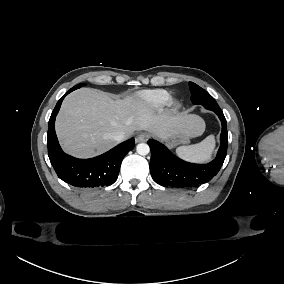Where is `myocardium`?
I'll use <instances>...</instances> for the list:
<instances>
[{
    "instance_id": "obj_1",
    "label": "myocardium",
    "mask_w": 284,
    "mask_h": 284,
    "mask_svg": "<svg viewBox=\"0 0 284 284\" xmlns=\"http://www.w3.org/2000/svg\"><path fill=\"white\" fill-rule=\"evenodd\" d=\"M182 107V101L178 98H174L169 103V108L172 111H177Z\"/></svg>"
}]
</instances>
